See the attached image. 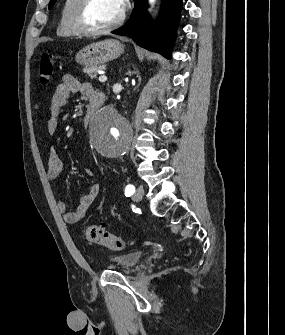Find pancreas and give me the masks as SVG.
Returning a JSON list of instances; mask_svg holds the SVG:
<instances>
[{
	"instance_id": "pancreas-1",
	"label": "pancreas",
	"mask_w": 285,
	"mask_h": 335,
	"mask_svg": "<svg viewBox=\"0 0 285 335\" xmlns=\"http://www.w3.org/2000/svg\"><path fill=\"white\" fill-rule=\"evenodd\" d=\"M106 66H91V68H84L83 72L87 74L88 81H95L96 76L94 72H98V70H105Z\"/></svg>"
}]
</instances>
